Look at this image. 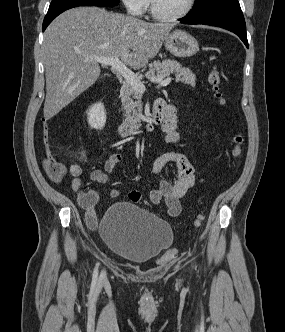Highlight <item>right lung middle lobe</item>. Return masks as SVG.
<instances>
[{
	"instance_id": "right-lung-middle-lobe-1",
	"label": "right lung middle lobe",
	"mask_w": 285,
	"mask_h": 332,
	"mask_svg": "<svg viewBox=\"0 0 285 332\" xmlns=\"http://www.w3.org/2000/svg\"><path fill=\"white\" fill-rule=\"evenodd\" d=\"M74 3H83V4H93L95 6H117L119 0H52L50 7L64 5V4H74Z\"/></svg>"
}]
</instances>
